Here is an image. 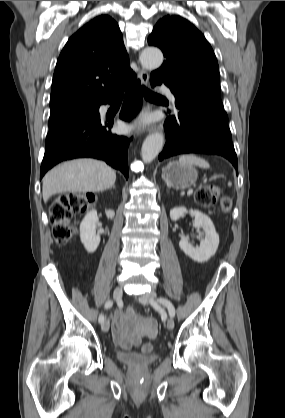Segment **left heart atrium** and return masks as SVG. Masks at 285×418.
I'll use <instances>...</instances> for the list:
<instances>
[{"instance_id":"39dd6f15","label":"left heart atrium","mask_w":285,"mask_h":418,"mask_svg":"<svg viewBox=\"0 0 285 418\" xmlns=\"http://www.w3.org/2000/svg\"><path fill=\"white\" fill-rule=\"evenodd\" d=\"M146 122H147V118L142 116L131 126V128L142 126V125L146 124Z\"/></svg>"}]
</instances>
